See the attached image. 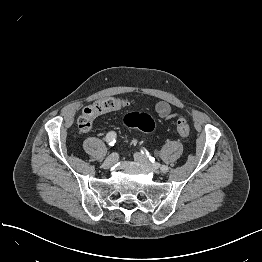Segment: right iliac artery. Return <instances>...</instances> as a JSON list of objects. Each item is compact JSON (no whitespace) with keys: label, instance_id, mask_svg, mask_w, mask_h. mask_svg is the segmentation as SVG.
<instances>
[{"label":"right iliac artery","instance_id":"right-iliac-artery-1","mask_svg":"<svg viewBox=\"0 0 262 262\" xmlns=\"http://www.w3.org/2000/svg\"><path fill=\"white\" fill-rule=\"evenodd\" d=\"M106 142L108 143L109 146H114L116 142V133L111 131L106 135L105 138Z\"/></svg>","mask_w":262,"mask_h":262}]
</instances>
